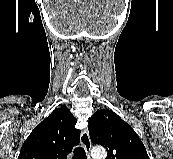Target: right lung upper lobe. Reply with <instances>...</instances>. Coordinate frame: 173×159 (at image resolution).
<instances>
[{"mask_svg": "<svg viewBox=\"0 0 173 159\" xmlns=\"http://www.w3.org/2000/svg\"><path fill=\"white\" fill-rule=\"evenodd\" d=\"M77 119L67 107L55 109L36 126L21 147L18 159H66L79 143Z\"/></svg>", "mask_w": 173, "mask_h": 159, "instance_id": "right-lung-upper-lobe-1", "label": "right lung upper lobe"}]
</instances>
